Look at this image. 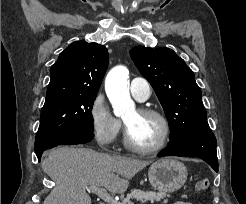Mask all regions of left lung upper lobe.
<instances>
[{
    "instance_id": "obj_1",
    "label": "left lung upper lobe",
    "mask_w": 246,
    "mask_h": 204,
    "mask_svg": "<svg viewBox=\"0 0 246 204\" xmlns=\"http://www.w3.org/2000/svg\"><path fill=\"white\" fill-rule=\"evenodd\" d=\"M130 55L158 96L171 128V140L209 126L201 90L182 58L168 48L143 46L132 48Z\"/></svg>"
}]
</instances>
